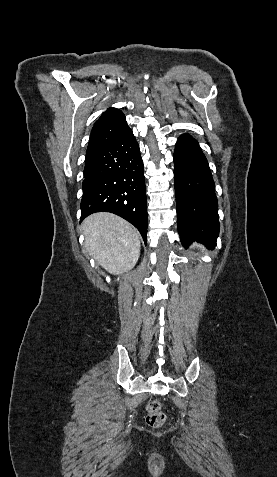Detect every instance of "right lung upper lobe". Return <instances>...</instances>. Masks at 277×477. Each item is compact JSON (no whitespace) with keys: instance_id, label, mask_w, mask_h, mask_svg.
Segmentation results:
<instances>
[{"instance_id":"cb5924a9","label":"right lung upper lobe","mask_w":277,"mask_h":477,"mask_svg":"<svg viewBox=\"0 0 277 477\" xmlns=\"http://www.w3.org/2000/svg\"><path fill=\"white\" fill-rule=\"evenodd\" d=\"M128 128L122 111L116 108L107 109L92 128L86 153L108 145Z\"/></svg>"}]
</instances>
